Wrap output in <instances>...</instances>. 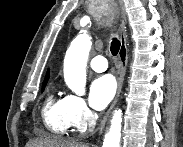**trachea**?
Here are the masks:
<instances>
[{
    "instance_id": "trachea-1",
    "label": "trachea",
    "mask_w": 183,
    "mask_h": 147,
    "mask_svg": "<svg viewBox=\"0 0 183 147\" xmlns=\"http://www.w3.org/2000/svg\"><path fill=\"white\" fill-rule=\"evenodd\" d=\"M121 43L117 38H113L110 46V51L113 56H116L120 50Z\"/></svg>"
}]
</instances>
